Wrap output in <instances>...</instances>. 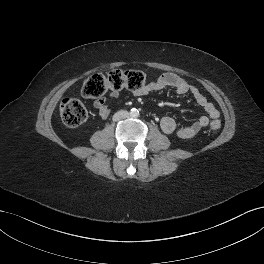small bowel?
<instances>
[{
	"mask_svg": "<svg viewBox=\"0 0 264 264\" xmlns=\"http://www.w3.org/2000/svg\"><path fill=\"white\" fill-rule=\"evenodd\" d=\"M165 87H171L176 93L181 95L191 94L196 103L202 107L207 114L198 118L191 125L184 127H178L172 118L165 116L160 120V128L165 134H176L181 139H192L201 131V129L208 126L210 120H216L219 118L220 113L214 104L211 103L195 86L174 73L162 74L156 82L149 83L142 89L135 91V95L143 96ZM112 96L117 97L118 93H112ZM94 106L102 118H107L109 116L110 108L105 98L101 97L96 99Z\"/></svg>",
	"mask_w": 264,
	"mask_h": 264,
	"instance_id": "1",
	"label": "small bowel"
}]
</instances>
